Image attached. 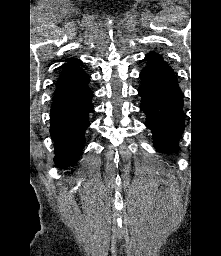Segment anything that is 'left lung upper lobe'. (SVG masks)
I'll use <instances>...</instances> for the list:
<instances>
[{"mask_svg": "<svg viewBox=\"0 0 221 256\" xmlns=\"http://www.w3.org/2000/svg\"><path fill=\"white\" fill-rule=\"evenodd\" d=\"M145 59L148 60V62H149L148 66L156 65V64L167 65V63L164 62L163 59L158 54H156L154 52L147 54Z\"/></svg>", "mask_w": 221, "mask_h": 256, "instance_id": "5c2ea615", "label": "left lung upper lobe"}]
</instances>
